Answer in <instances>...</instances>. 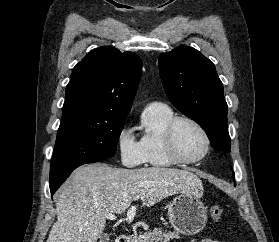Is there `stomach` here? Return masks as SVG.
Masks as SVG:
<instances>
[{
	"label": "stomach",
	"mask_w": 279,
	"mask_h": 242,
	"mask_svg": "<svg viewBox=\"0 0 279 242\" xmlns=\"http://www.w3.org/2000/svg\"><path fill=\"white\" fill-rule=\"evenodd\" d=\"M168 218L176 232L183 235H195L206 225L207 210L198 196L180 193L169 205Z\"/></svg>",
	"instance_id": "stomach-1"
}]
</instances>
